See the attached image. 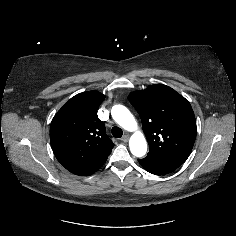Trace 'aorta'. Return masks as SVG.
Returning a JSON list of instances; mask_svg holds the SVG:
<instances>
[{
	"label": "aorta",
	"instance_id": "762f6f07",
	"mask_svg": "<svg viewBox=\"0 0 236 236\" xmlns=\"http://www.w3.org/2000/svg\"><path fill=\"white\" fill-rule=\"evenodd\" d=\"M111 115L122 128L135 132L129 140L131 153L136 157L144 156L147 152V142L144 135L137 131L138 125L131 112L125 106L118 104L112 107Z\"/></svg>",
	"mask_w": 236,
	"mask_h": 236
}]
</instances>
